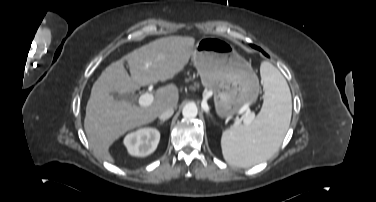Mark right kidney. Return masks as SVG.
Instances as JSON below:
<instances>
[{
	"instance_id": "right-kidney-1",
	"label": "right kidney",
	"mask_w": 376,
	"mask_h": 202,
	"mask_svg": "<svg viewBox=\"0 0 376 202\" xmlns=\"http://www.w3.org/2000/svg\"><path fill=\"white\" fill-rule=\"evenodd\" d=\"M160 133L155 128H140L126 135L124 144L130 155L145 157L155 151Z\"/></svg>"
}]
</instances>
